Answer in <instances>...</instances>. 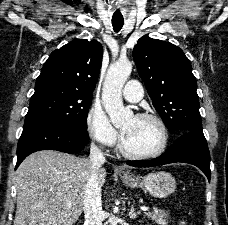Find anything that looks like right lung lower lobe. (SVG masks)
<instances>
[{
	"mask_svg": "<svg viewBox=\"0 0 228 225\" xmlns=\"http://www.w3.org/2000/svg\"><path fill=\"white\" fill-rule=\"evenodd\" d=\"M87 130L58 120H35L24 123L17 146L15 169L29 154L39 150L65 153L81 151L88 143Z\"/></svg>",
	"mask_w": 228,
	"mask_h": 225,
	"instance_id": "obj_1",
	"label": "right lung lower lobe"
}]
</instances>
